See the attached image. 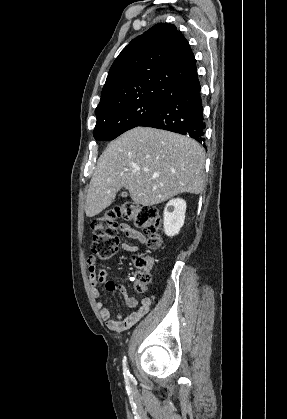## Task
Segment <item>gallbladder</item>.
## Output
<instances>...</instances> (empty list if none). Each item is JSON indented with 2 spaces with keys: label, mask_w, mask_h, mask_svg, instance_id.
Returning a JSON list of instances; mask_svg holds the SVG:
<instances>
[{
  "label": "gallbladder",
  "mask_w": 287,
  "mask_h": 419,
  "mask_svg": "<svg viewBox=\"0 0 287 419\" xmlns=\"http://www.w3.org/2000/svg\"><path fill=\"white\" fill-rule=\"evenodd\" d=\"M121 196H122V197H127V196H128V193H127V192H122V193H121Z\"/></svg>",
  "instance_id": "obj_1"
}]
</instances>
